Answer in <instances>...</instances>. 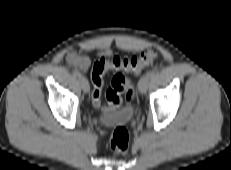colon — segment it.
I'll return each mask as SVG.
<instances>
[{
	"label": "colon",
	"instance_id": "colon-1",
	"mask_svg": "<svg viewBox=\"0 0 231 170\" xmlns=\"http://www.w3.org/2000/svg\"><path fill=\"white\" fill-rule=\"evenodd\" d=\"M158 58V52L155 49H149L138 57L121 58L114 56L111 59H97L91 70L92 83V103L94 107L107 110L102 107V90L104 85V76L108 71L115 72L110 87L106 92V100L109 108L117 107L125 95L127 101L134 98V90L126 73H140L145 67L151 65ZM111 149L117 153L126 152L129 147V133L125 127H117L113 130L110 137Z\"/></svg>",
	"mask_w": 231,
	"mask_h": 170
}]
</instances>
